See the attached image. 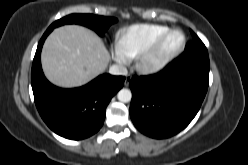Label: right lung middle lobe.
I'll list each match as a JSON object with an SVG mask.
<instances>
[{
    "instance_id": "obj_1",
    "label": "right lung middle lobe",
    "mask_w": 248,
    "mask_h": 165,
    "mask_svg": "<svg viewBox=\"0 0 248 165\" xmlns=\"http://www.w3.org/2000/svg\"><path fill=\"white\" fill-rule=\"evenodd\" d=\"M115 22H117V19L112 17L96 16L92 14H71L55 21L49 28L54 29L55 27L64 24L75 23L87 26L102 36L109 26Z\"/></svg>"
}]
</instances>
